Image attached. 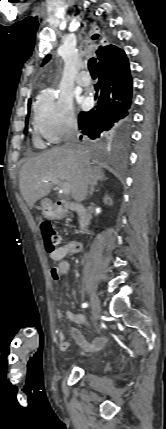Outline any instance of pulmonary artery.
<instances>
[{
  "label": "pulmonary artery",
  "mask_w": 166,
  "mask_h": 429,
  "mask_svg": "<svg viewBox=\"0 0 166 429\" xmlns=\"http://www.w3.org/2000/svg\"><path fill=\"white\" fill-rule=\"evenodd\" d=\"M82 68L84 69L85 66H82ZM86 75H87V73L85 71H82L78 75V77L76 78V82L78 83V85H80L82 87L89 85L90 80H89V77H87Z\"/></svg>",
  "instance_id": "e3ab8cb5"
}]
</instances>
